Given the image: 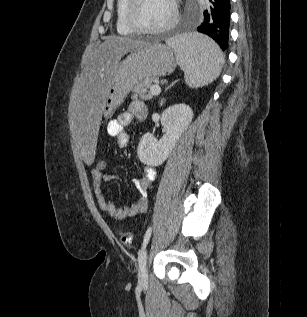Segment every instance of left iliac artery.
<instances>
[{
    "label": "left iliac artery",
    "mask_w": 307,
    "mask_h": 317,
    "mask_svg": "<svg viewBox=\"0 0 307 317\" xmlns=\"http://www.w3.org/2000/svg\"><path fill=\"white\" fill-rule=\"evenodd\" d=\"M151 232H152V228L149 227L145 233L144 236V240H143V244H142V249H144L146 247V245L148 244L150 237H151Z\"/></svg>",
    "instance_id": "1"
}]
</instances>
